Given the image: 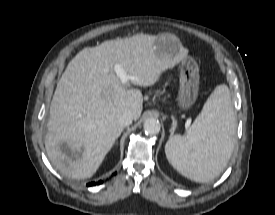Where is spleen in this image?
<instances>
[{"label": "spleen", "instance_id": "obj_1", "mask_svg": "<svg viewBox=\"0 0 275 215\" xmlns=\"http://www.w3.org/2000/svg\"><path fill=\"white\" fill-rule=\"evenodd\" d=\"M236 121L229 89L211 93L186 136H172L165 146L169 163L195 182H208L227 165L233 149Z\"/></svg>", "mask_w": 275, "mask_h": 215}]
</instances>
